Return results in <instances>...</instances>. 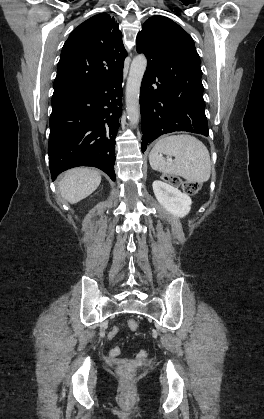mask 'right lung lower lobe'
I'll list each match as a JSON object with an SVG mask.
<instances>
[{
  "label": "right lung lower lobe",
  "instance_id": "right-lung-lower-lobe-1",
  "mask_svg": "<svg viewBox=\"0 0 264 419\" xmlns=\"http://www.w3.org/2000/svg\"><path fill=\"white\" fill-rule=\"evenodd\" d=\"M122 78L123 72L95 88L52 97L48 146L52 180L69 168L94 166L115 181Z\"/></svg>",
  "mask_w": 264,
  "mask_h": 419
}]
</instances>
